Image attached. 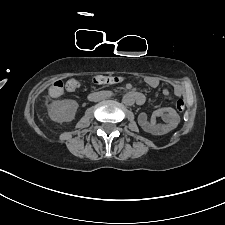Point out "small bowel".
<instances>
[{
	"instance_id": "small-bowel-1",
	"label": "small bowel",
	"mask_w": 225,
	"mask_h": 225,
	"mask_svg": "<svg viewBox=\"0 0 225 225\" xmlns=\"http://www.w3.org/2000/svg\"><path fill=\"white\" fill-rule=\"evenodd\" d=\"M148 84L152 88H157L159 86V82L156 79H150ZM162 93L165 97L171 98V92L168 88H163ZM174 94L176 96H181L183 94L182 88L176 87L174 89ZM158 119H161L162 122H159ZM138 120L146 132L154 135H164L172 131L178 125L180 117L174 109L162 108L156 110L151 116H148L146 113H141Z\"/></svg>"
}]
</instances>
